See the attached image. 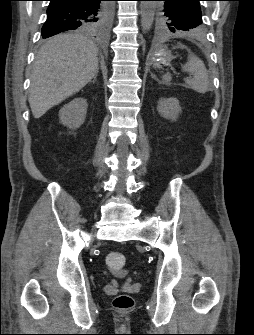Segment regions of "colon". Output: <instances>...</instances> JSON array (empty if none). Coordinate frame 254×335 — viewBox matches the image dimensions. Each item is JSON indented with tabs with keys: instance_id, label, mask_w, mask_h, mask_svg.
I'll return each mask as SVG.
<instances>
[{
	"instance_id": "obj_1",
	"label": "colon",
	"mask_w": 254,
	"mask_h": 335,
	"mask_svg": "<svg viewBox=\"0 0 254 335\" xmlns=\"http://www.w3.org/2000/svg\"><path fill=\"white\" fill-rule=\"evenodd\" d=\"M106 264L113 272H120L126 264V257L121 252H110L106 256ZM133 305L134 300L128 294H120L116 296L113 301V306L121 311H127L131 309Z\"/></svg>"
}]
</instances>
